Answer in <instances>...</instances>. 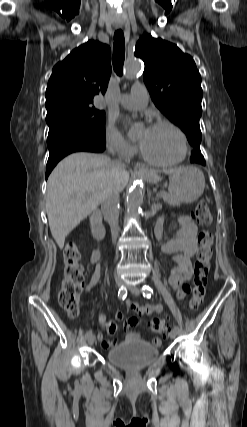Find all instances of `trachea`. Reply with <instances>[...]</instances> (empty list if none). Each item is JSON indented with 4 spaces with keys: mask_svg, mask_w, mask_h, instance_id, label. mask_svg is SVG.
<instances>
[{
    "mask_svg": "<svg viewBox=\"0 0 247 427\" xmlns=\"http://www.w3.org/2000/svg\"><path fill=\"white\" fill-rule=\"evenodd\" d=\"M125 59V38L121 30L114 34L113 44V68L118 75H122L123 64Z\"/></svg>",
    "mask_w": 247,
    "mask_h": 427,
    "instance_id": "obj_1",
    "label": "trachea"
}]
</instances>
